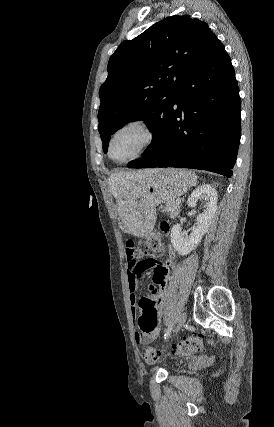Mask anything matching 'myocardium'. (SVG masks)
<instances>
[{
  "mask_svg": "<svg viewBox=\"0 0 274 427\" xmlns=\"http://www.w3.org/2000/svg\"><path fill=\"white\" fill-rule=\"evenodd\" d=\"M130 127H136L142 130L146 135V140L144 144L141 146V148L137 151V153L133 155L130 159L125 161H117L113 158L111 154V145H112L113 138L120 131ZM156 141H157V132L154 126L152 125V123L144 118H135L121 124L110 134L107 142V155L110 158V160H112L116 164H119V165L128 164L142 157L144 154H146L153 147Z\"/></svg>",
  "mask_w": 274,
  "mask_h": 427,
  "instance_id": "obj_1",
  "label": "myocardium"
}]
</instances>
